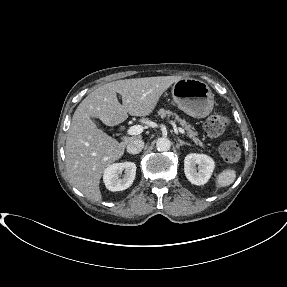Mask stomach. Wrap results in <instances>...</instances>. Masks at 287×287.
I'll return each mask as SVG.
<instances>
[{
    "mask_svg": "<svg viewBox=\"0 0 287 287\" xmlns=\"http://www.w3.org/2000/svg\"><path fill=\"white\" fill-rule=\"evenodd\" d=\"M178 107L194 118L208 116L214 107V94L209 86L198 79L182 78L171 89Z\"/></svg>",
    "mask_w": 287,
    "mask_h": 287,
    "instance_id": "stomach-1",
    "label": "stomach"
}]
</instances>
